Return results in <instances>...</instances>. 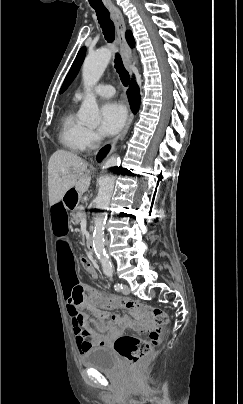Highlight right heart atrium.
<instances>
[{"label": "right heart atrium", "mask_w": 243, "mask_h": 404, "mask_svg": "<svg viewBox=\"0 0 243 404\" xmlns=\"http://www.w3.org/2000/svg\"><path fill=\"white\" fill-rule=\"evenodd\" d=\"M84 150H94L101 145L100 135L93 129H86L83 138Z\"/></svg>", "instance_id": "1"}]
</instances>
